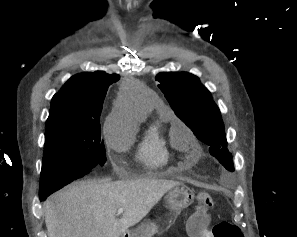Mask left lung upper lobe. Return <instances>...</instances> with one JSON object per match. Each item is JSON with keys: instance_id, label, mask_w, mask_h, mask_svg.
Masks as SVG:
<instances>
[{"instance_id": "obj_1", "label": "left lung upper lobe", "mask_w": 297, "mask_h": 237, "mask_svg": "<svg viewBox=\"0 0 297 237\" xmlns=\"http://www.w3.org/2000/svg\"><path fill=\"white\" fill-rule=\"evenodd\" d=\"M155 79L175 114L200 141L210 146L212 156L233 171L232 155L224 147L227 142L221 113L207 88L187 72H162Z\"/></svg>"}]
</instances>
